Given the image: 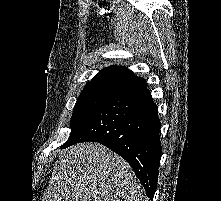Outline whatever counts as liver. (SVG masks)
<instances>
[{"label":"liver","instance_id":"6515ba94","mask_svg":"<svg viewBox=\"0 0 221 201\" xmlns=\"http://www.w3.org/2000/svg\"><path fill=\"white\" fill-rule=\"evenodd\" d=\"M141 192L123 158L99 143L86 142L61 152L45 201H140Z\"/></svg>","mask_w":221,"mask_h":201}]
</instances>
